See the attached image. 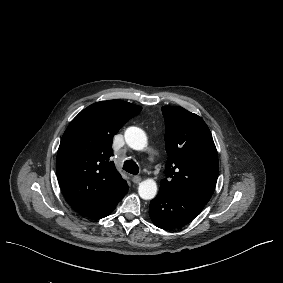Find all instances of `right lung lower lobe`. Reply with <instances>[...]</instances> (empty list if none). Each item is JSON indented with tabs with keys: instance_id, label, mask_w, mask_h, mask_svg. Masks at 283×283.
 Returning a JSON list of instances; mask_svg holds the SVG:
<instances>
[{
	"instance_id": "1",
	"label": "right lung lower lobe",
	"mask_w": 283,
	"mask_h": 283,
	"mask_svg": "<svg viewBox=\"0 0 283 283\" xmlns=\"http://www.w3.org/2000/svg\"><path fill=\"white\" fill-rule=\"evenodd\" d=\"M112 211H113V210H112ZM112 211H111V212H112ZM111 212L107 213V214H106V215H104L103 217H106V216H108V215H109V214H110ZM103 217H102V218H103Z\"/></svg>"
}]
</instances>
